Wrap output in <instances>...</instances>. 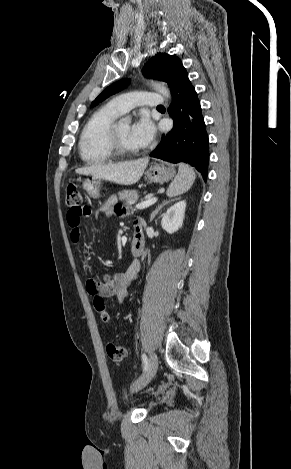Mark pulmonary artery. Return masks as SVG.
<instances>
[{
    "label": "pulmonary artery",
    "mask_w": 291,
    "mask_h": 469,
    "mask_svg": "<svg viewBox=\"0 0 291 469\" xmlns=\"http://www.w3.org/2000/svg\"><path fill=\"white\" fill-rule=\"evenodd\" d=\"M110 103L121 113H125L139 106L158 107L163 105L164 98L155 92L139 91L118 95Z\"/></svg>",
    "instance_id": "obj_1"
}]
</instances>
